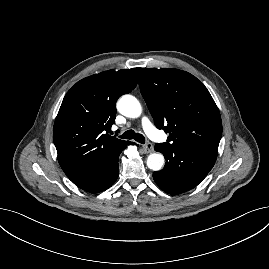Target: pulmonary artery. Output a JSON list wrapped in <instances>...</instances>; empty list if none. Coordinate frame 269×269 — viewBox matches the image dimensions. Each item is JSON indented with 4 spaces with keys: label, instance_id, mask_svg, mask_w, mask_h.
Masks as SVG:
<instances>
[{
    "label": "pulmonary artery",
    "instance_id": "e3ab8cb5",
    "mask_svg": "<svg viewBox=\"0 0 269 269\" xmlns=\"http://www.w3.org/2000/svg\"><path fill=\"white\" fill-rule=\"evenodd\" d=\"M142 127L146 134L153 140H160L161 134L151 123L148 117H143L141 120Z\"/></svg>",
    "mask_w": 269,
    "mask_h": 269
}]
</instances>
